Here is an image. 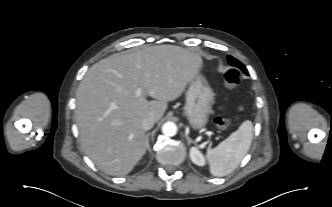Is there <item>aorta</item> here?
<instances>
[{"instance_id":"obj_1","label":"aorta","mask_w":332,"mask_h":207,"mask_svg":"<svg viewBox=\"0 0 332 207\" xmlns=\"http://www.w3.org/2000/svg\"><path fill=\"white\" fill-rule=\"evenodd\" d=\"M162 133L165 136L172 137L177 133V126L173 122H166L162 126Z\"/></svg>"}]
</instances>
